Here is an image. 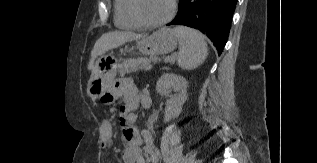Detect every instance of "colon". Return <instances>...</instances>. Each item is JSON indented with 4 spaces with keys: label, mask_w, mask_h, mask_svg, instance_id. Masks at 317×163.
I'll use <instances>...</instances> for the list:
<instances>
[{
    "label": "colon",
    "mask_w": 317,
    "mask_h": 163,
    "mask_svg": "<svg viewBox=\"0 0 317 163\" xmlns=\"http://www.w3.org/2000/svg\"><path fill=\"white\" fill-rule=\"evenodd\" d=\"M113 101V97L110 95H107L103 98L104 103H111Z\"/></svg>",
    "instance_id": "1"
}]
</instances>
